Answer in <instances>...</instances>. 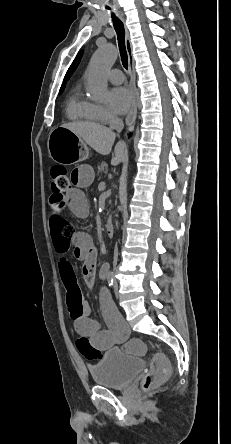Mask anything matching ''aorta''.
Segmentation results:
<instances>
[{
  "mask_svg": "<svg viewBox=\"0 0 231 444\" xmlns=\"http://www.w3.org/2000/svg\"><path fill=\"white\" fill-rule=\"evenodd\" d=\"M117 57L113 45L106 44L100 47L93 55L87 73V90L94 101H104L107 97V79L105 73L115 62ZM126 177L123 178V184Z\"/></svg>",
  "mask_w": 231,
  "mask_h": 444,
  "instance_id": "obj_1",
  "label": "aorta"
}]
</instances>
